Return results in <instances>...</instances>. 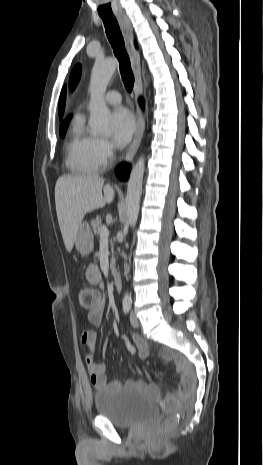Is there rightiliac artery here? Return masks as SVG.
I'll return each instance as SVG.
<instances>
[{
    "mask_svg": "<svg viewBox=\"0 0 263 465\" xmlns=\"http://www.w3.org/2000/svg\"><path fill=\"white\" fill-rule=\"evenodd\" d=\"M131 308V302H123V311L128 314Z\"/></svg>",
    "mask_w": 263,
    "mask_h": 465,
    "instance_id": "right-iliac-artery-1",
    "label": "right iliac artery"
}]
</instances>
